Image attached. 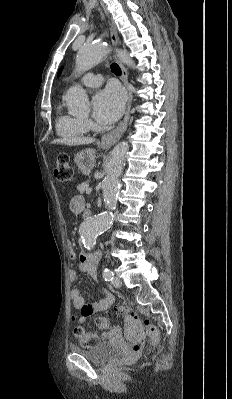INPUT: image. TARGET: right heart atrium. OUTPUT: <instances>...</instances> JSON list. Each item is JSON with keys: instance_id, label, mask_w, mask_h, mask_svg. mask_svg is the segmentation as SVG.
Segmentation results:
<instances>
[{"instance_id": "right-heart-atrium-1", "label": "right heart atrium", "mask_w": 232, "mask_h": 399, "mask_svg": "<svg viewBox=\"0 0 232 399\" xmlns=\"http://www.w3.org/2000/svg\"><path fill=\"white\" fill-rule=\"evenodd\" d=\"M87 122V124L90 126V122L89 121H86Z\"/></svg>"}]
</instances>
